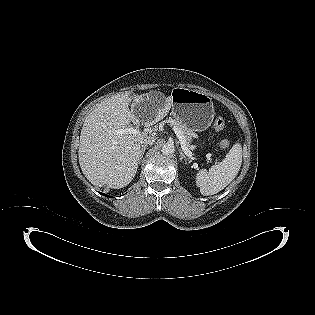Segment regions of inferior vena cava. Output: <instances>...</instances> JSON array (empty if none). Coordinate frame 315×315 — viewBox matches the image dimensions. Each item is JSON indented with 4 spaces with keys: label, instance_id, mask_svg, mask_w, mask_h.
<instances>
[{
    "label": "inferior vena cava",
    "instance_id": "inferior-vena-cava-1",
    "mask_svg": "<svg viewBox=\"0 0 315 315\" xmlns=\"http://www.w3.org/2000/svg\"><path fill=\"white\" fill-rule=\"evenodd\" d=\"M153 143H154V139H152V138L143 139L141 141V144H143V145H152Z\"/></svg>",
    "mask_w": 315,
    "mask_h": 315
}]
</instances>
